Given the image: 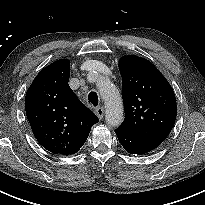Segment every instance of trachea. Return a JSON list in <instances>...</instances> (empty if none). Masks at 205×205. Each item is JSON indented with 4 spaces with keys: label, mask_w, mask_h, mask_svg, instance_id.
Here are the masks:
<instances>
[{
    "label": "trachea",
    "mask_w": 205,
    "mask_h": 205,
    "mask_svg": "<svg viewBox=\"0 0 205 205\" xmlns=\"http://www.w3.org/2000/svg\"><path fill=\"white\" fill-rule=\"evenodd\" d=\"M88 100L93 106H97L99 103L98 95L96 92H90L88 95Z\"/></svg>",
    "instance_id": "trachea-1"
}]
</instances>
